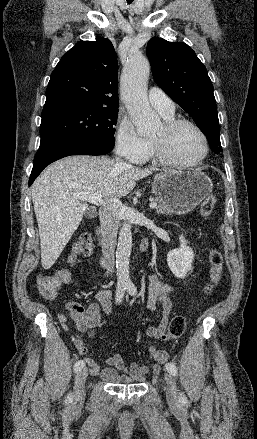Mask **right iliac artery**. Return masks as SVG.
<instances>
[{"label": "right iliac artery", "mask_w": 257, "mask_h": 439, "mask_svg": "<svg viewBox=\"0 0 257 439\" xmlns=\"http://www.w3.org/2000/svg\"><path fill=\"white\" fill-rule=\"evenodd\" d=\"M126 286L119 284L116 289V302L120 303L123 299L124 292H125ZM85 366V363L83 360H78L74 365V371L77 373ZM73 399V396L69 394L67 396V400L71 401Z\"/></svg>", "instance_id": "82829eb1"}]
</instances>
